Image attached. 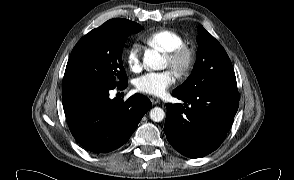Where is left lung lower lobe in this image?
Instances as JSON below:
<instances>
[{"instance_id": "obj_1", "label": "left lung lower lobe", "mask_w": 294, "mask_h": 180, "mask_svg": "<svg viewBox=\"0 0 294 180\" xmlns=\"http://www.w3.org/2000/svg\"><path fill=\"white\" fill-rule=\"evenodd\" d=\"M181 104H166L164 132L184 156L200 158L216 150L231 128L239 107V93L226 90L172 92Z\"/></svg>"}]
</instances>
